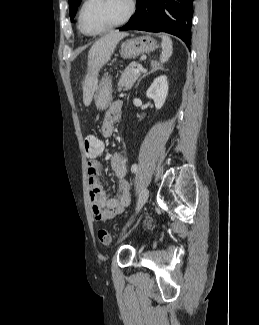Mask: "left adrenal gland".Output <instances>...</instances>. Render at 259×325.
I'll use <instances>...</instances> for the list:
<instances>
[{"instance_id":"a2214340","label":"left adrenal gland","mask_w":259,"mask_h":325,"mask_svg":"<svg viewBox=\"0 0 259 325\" xmlns=\"http://www.w3.org/2000/svg\"><path fill=\"white\" fill-rule=\"evenodd\" d=\"M151 67L152 69L148 72V73H145L139 80H138V83H137V86L139 85L140 81L146 77L147 75H150L151 73H154L155 71L159 70V69H162L158 64L157 62L155 61H151Z\"/></svg>"}]
</instances>
